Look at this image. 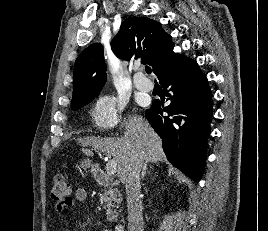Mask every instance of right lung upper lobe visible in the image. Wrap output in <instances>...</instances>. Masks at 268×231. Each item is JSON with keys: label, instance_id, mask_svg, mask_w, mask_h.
I'll use <instances>...</instances> for the list:
<instances>
[{"label": "right lung upper lobe", "instance_id": "obj_1", "mask_svg": "<svg viewBox=\"0 0 268 231\" xmlns=\"http://www.w3.org/2000/svg\"><path fill=\"white\" fill-rule=\"evenodd\" d=\"M173 46L171 36L163 30L161 23L147 17L123 21L111 43L117 57L123 60L140 58L143 64L152 66L158 79L164 72L190 59L174 53ZM105 72L103 47L94 43L75 61L71 105L97 97L106 82Z\"/></svg>", "mask_w": 268, "mask_h": 231}]
</instances>
